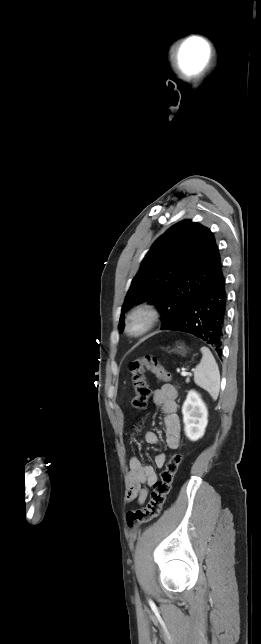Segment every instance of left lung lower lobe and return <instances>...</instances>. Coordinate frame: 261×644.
<instances>
[{"label":"left lung lower lobe","mask_w":261,"mask_h":644,"mask_svg":"<svg viewBox=\"0 0 261 644\" xmlns=\"http://www.w3.org/2000/svg\"><path fill=\"white\" fill-rule=\"evenodd\" d=\"M226 307V282L221 264L183 314L162 330L192 334L212 345L221 354Z\"/></svg>","instance_id":"left-lung-lower-lobe-1"}]
</instances>
